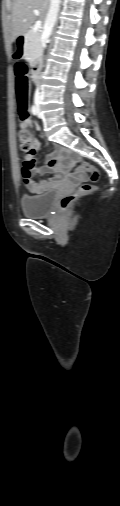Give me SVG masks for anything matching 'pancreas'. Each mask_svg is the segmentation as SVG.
Returning a JSON list of instances; mask_svg holds the SVG:
<instances>
[{
    "label": "pancreas",
    "mask_w": 120,
    "mask_h": 506,
    "mask_svg": "<svg viewBox=\"0 0 120 506\" xmlns=\"http://www.w3.org/2000/svg\"><path fill=\"white\" fill-rule=\"evenodd\" d=\"M42 55L41 33L29 30L25 35L24 56L31 62Z\"/></svg>",
    "instance_id": "obj_1"
}]
</instances>
